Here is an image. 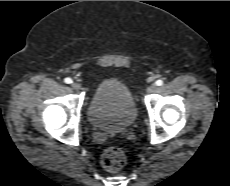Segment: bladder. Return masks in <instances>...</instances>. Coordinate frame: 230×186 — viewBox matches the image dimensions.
Instances as JSON below:
<instances>
[{"mask_svg": "<svg viewBox=\"0 0 230 186\" xmlns=\"http://www.w3.org/2000/svg\"><path fill=\"white\" fill-rule=\"evenodd\" d=\"M136 118V105L125 85L113 79L98 84L88 108V119L93 127L105 132H122L130 128Z\"/></svg>", "mask_w": 230, "mask_h": 186, "instance_id": "1", "label": "bladder"}]
</instances>
